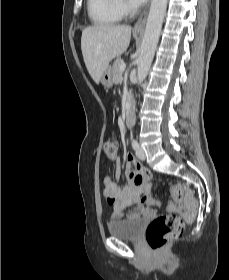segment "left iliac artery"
I'll list each match as a JSON object with an SVG mask.
<instances>
[{
	"instance_id": "44dca946",
	"label": "left iliac artery",
	"mask_w": 229,
	"mask_h": 280,
	"mask_svg": "<svg viewBox=\"0 0 229 280\" xmlns=\"http://www.w3.org/2000/svg\"><path fill=\"white\" fill-rule=\"evenodd\" d=\"M138 142H137V140L136 139H133L132 140V148L134 149V150H136L137 148H138Z\"/></svg>"
}]
</instances>
